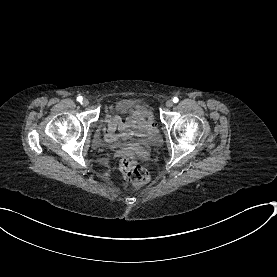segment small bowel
I'll return each mask as SVG.
<instances>
[{
    "instance_id": "small-bowel-1",
    "label": "small bowel",
    "mask_w": 277,
    "mask_h": 277,
    "mask_svg": "<svg viewBox=\"0 0 277 277\" xmlns=\"http://www.w3.org/2000/svg\"><path fill=\"white\" fill-rule=\"evenodd\" d=\"M119 127L124 133L132 130H140L144 132H154L156 125L152 114L145 106H139L137 110L128 116L124 121L119 116H110L106 120V141L112 143L116 140L114 131Z\"/></svg>"
}]
</instances>
